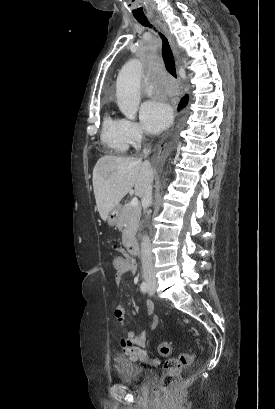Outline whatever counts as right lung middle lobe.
Here are the masks:
<instances>
[{
	"label": "right lung middle lobe",
	"mask_w": 275,
	"mask_h": 409,
	"mask_svg": "<svg viewBox=\"0 0 275 409\" xmlns=\"http://www.w3.org/2000/svg\"><path fill=\"white\" fill-rule=\"evenodd\" d=\"M186 104H187V101L184 102V103H182V104H180L179 107H178V110H180L181 108H183ZM177 142H178V133H175V134L170 138V140L168 141V143H167V145H166V150H167V151L173 150V149L176 147ZM149 167H150L151 169H159V168L161 167V162H160L159 160H151V161L149 162Z\"/></svg>",
	"instance_id": "obj_1"
}]
</instances>
